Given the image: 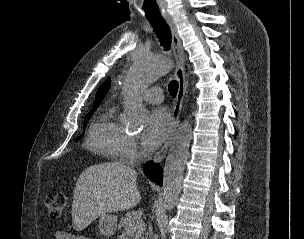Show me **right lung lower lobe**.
Here are the masks:
<instances>
[{
    "mask_svg": "<svg viewBox=\"0 0 304 239\" xmlns=\"http://www.w3.org/2000/svg\"><path fill=\"white\" fill-rule=\"evenodd\" d=\"M144 172L151 181L162 186L163 172L157 164L153 163L152 161L147 162L144 165Z\"/></svg>",
    "mask_w": 304,
    "mask_h": 239,
    "instance_id": "right-lung-lower-lobe-1",
    "label": "right lung lower lobe"
}]
</instances>
